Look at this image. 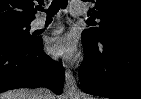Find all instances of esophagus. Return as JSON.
<instances>
[{
    "label": "esophagus",
    "instance_id": "esophagus-1",
    "mask_svg": "<svg viewBox=\"0 0 141 99\" xmlns=\"http://www.w3.org/2000/svg\"><path fill=\"white\" fill-rule=\"evenodd\" d=\"M76 94H77V85H76L75 77L71 69L67 68L65 71L64 95L66 98H70Z\"/></svg>",
    "mask_w": 141,
    "mask_h": 99
}]
</instances>
